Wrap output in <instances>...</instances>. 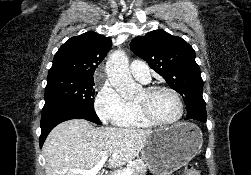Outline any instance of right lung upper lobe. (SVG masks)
Segmentation results:
<instances>
[{
	"instance_id": "right-lung-upper-lobe-1",
	"label": "right lung upper lobe",
	"mask_w": 251,
	"mask_h": 175,
	"mask_svg": "<svg viewBox=\"0 0 251 175\" xmlns=\"http://www.w3.org/2000/svg\"><path fill=\"white\" fill-rule=\"evenodd\" d=\"M111 44L110 38L93 31L70 38L55 54L47 78L94 81L95 69L105 58Z\"/></svg>"
}]
</instances>
